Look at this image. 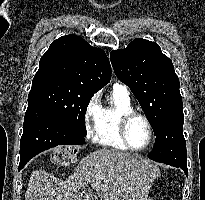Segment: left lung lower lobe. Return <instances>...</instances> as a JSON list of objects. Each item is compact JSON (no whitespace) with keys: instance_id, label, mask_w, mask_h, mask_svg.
Masks as SVG:
<instances>
[{"instance_id":"obj_1","label":"left lung lower lobe","mask_w":205,"mask_h":200,"mask_svg":"<svg viewBox=\"0 0 205 200\" xmlns=\"http://www.w3.org/2000/svg\"><path fill=\"white\" fill-rule=\"evenodd\" d=\"M183 123V110L170 114L157 133L153 150L148 157L157 162L180 167L188 176Z\"/></svg>"}]
</instances>
